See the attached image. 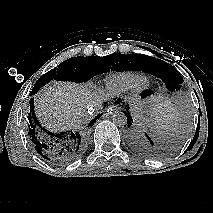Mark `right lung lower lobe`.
<instances>
[{
    "mask_svg": "<svg viewBox=\"0 0 213 213\" xmlns=\"http://www.w3.org/2000/svg\"><path fill=\"white\" fill-rule=\"evenodd\" d=\"M38 90L31 91L30 95H34ZM29 105L30 111L27 115L28 135L36 152L42 158L53 163L65 164L82 154L87 141L86 132H73L71 130L59 133L51 132L45 129L37 119L33 98L30 99ZM100 117L101 115L98 114L89 123V127Z\"/></svg>",
    "mask_w": 213,
    "mask_h": 213,
    "instance_id": "1",
    "label": "right lung lower lobe"
}]
</instances>
